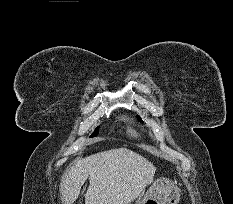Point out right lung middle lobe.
Wrapping results in <instances>:
<instances>
[{
  "instance_id": "dd1d6c3e",
  "label": "right lung middle lobe",
  "mask_w": 233,
  "mask_h": 204,
  "mask_svg": "<svg viewBox=\"0 0 233 204\" xmlns=\"http://www.w3.org/2000/svg\"><path fill=\"white\" fill-rule=\"evenodd\" d=\"M98 134V128L93 132V134L90 137H95Z\"/></svg>"
}]
</instances>
